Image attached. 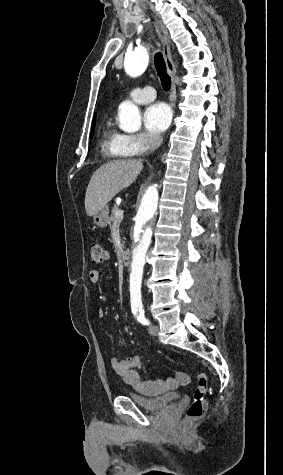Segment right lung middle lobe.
Masks as SVG:
<instances>
[{
    "label": "right lung middle lobe",
    "mask_w": 283,
    "mask_h": 475,
    "mask_svg": "<svg viewBox=\"0 0 283 475\" xmlns=\"http://www.w3.org/2000/svg\"><path fill=\"white\" fill-rule=\"evenodd\" d=\"M94 126H95V117L93 119V124H92V129H91V137L93 136Z\"/></svg>",
    "instance_id": "right-lung-middle-lobe-1"
}]
</instances>
